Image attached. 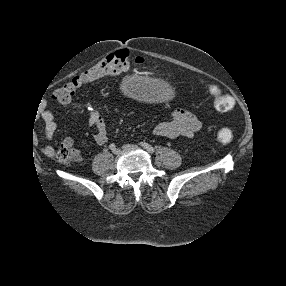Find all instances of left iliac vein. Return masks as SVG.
Returning <instances> with one entry per match:
<instances>
[{
    "mask_svg": "<svg viewBox=\"0 0 286 286\" xmlns=\"http://www.w3.org/2000/svg\"><path fill=\"white\" fill-rule=\"evenodd\" d=\"M130 147H137V145H134V144H125V145H123V149H128Z\"/></svg>",
    "mask_w": 286,
    "mask_h": 286,
    "instance_id": "1",
    "label": "left iliac vein"
}]
</instances>
